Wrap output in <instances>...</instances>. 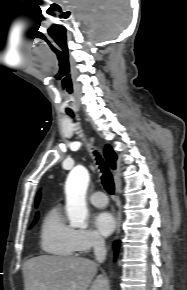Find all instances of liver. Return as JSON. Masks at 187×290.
Wrapping results in <instances>:
<instances>
[{
    "label": "liver",
    "instance_id": "6515ba94",
    "mask_svg": "<svg viewBox=\"0 0 187 290\" xmlns=\"http://www.w3.org/2000/svg\"><path fill=\"white\" fill-rule=\"evenodd\" d=\"M97 264L75 256L41 255L23 264L25 290H110Z\"/></svg>",
    "mask_w": 187,
    "mask_h": 290
}]
</instances>
